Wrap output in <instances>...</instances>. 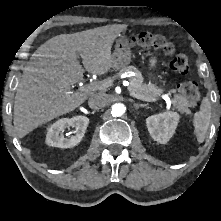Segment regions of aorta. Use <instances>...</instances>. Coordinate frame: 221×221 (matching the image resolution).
I'll return each mask as SVG.
<instances>
[{
	"instance_id": "762f6f07",
	"label": "aorta",
	"mask_w": 221,
	"mask_h": 221,
	"mask_svg": "<svg viewBox=\"0 0 221 221\" xmlns=\"http://www.w3.org/2000/svg\"><path fill=\"white\" fill-rule=\"evenodd\" d=\"M126 111V107L124 104L122 103H115L112 105L111 107V114L114 117H120L122 116Z\"/></svg>"
}]
</instances>
